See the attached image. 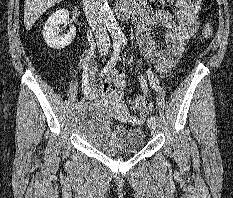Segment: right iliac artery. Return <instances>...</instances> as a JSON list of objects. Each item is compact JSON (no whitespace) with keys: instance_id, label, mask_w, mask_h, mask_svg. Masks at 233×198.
Wrapping results in <instances>:
<instances>
[{"instance_id":"obj_1","label":"right iliac artery","mask_w":233,"mask_h":198,"mask_svg":"<svg viewBox=\"0 0 233 198\" xmlns=\"http://www.w3.org/2000/svg\"><path fill=\"white\" fill-rule=\"evenodd\" d=\"M120 48H121L120 43H114V45H113V55H112L111 59L107 62L106 66L101 71V76L106 74L111 68H113L116 65V61L118 59ZM81 106H82L81 101L76 103V108H80Z\"/></svg>"}]
</instances>
